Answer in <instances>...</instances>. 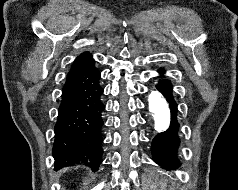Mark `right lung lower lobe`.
<instances>
[{
  "label": "right lung lower lobe",
  "instance_id": "right-lung-lower-lobe-1",
  "mask_svg": "<svg viewBox=\"0 0 238 190\" xmlns=\"http://www.w3.org/2000/svg\"><path fill=\"white\" fill-rule=\"evenodd\" d=\"M100 76L93 59L67 75L54 128L55 170L80 162L97 170L102 162L105 106L101 101Z\"/></svg>",
  "mask_w": 238,
  "mask_h": 190
}]
</instances>
